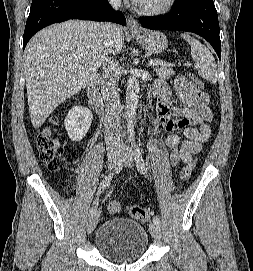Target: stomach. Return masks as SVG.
<instances>
[{
    "label": "stomach",
    "mask_w": 253,
    "mask_h": 271,
    "mask_svg": "<svg viewBox=\"0 0 253 271\" xmlns=\"http://www.w3.org/2000/svg\"><path fill=\"white\" fill-rule=\"evenodd\" d=\"M132 36L142 47L153 53H161L168 47L167 38L160 31L143 30L141 34L132 33Z\"/></svg>",
    "instance_id": "stomach-1"
}]
</instances>
